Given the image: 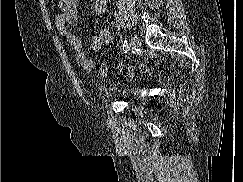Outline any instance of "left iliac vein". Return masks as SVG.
<instances>
[{
  "label": "left iliac vein",
  "instance_id": "obj_1",
  "mask_svg": "<svg viewBox=\"0 0 243 182\" xmlns=\"http://www.w3.org/2000/svg\"><path fill=\"white\" fill-rule=\"evenodd\" d=\"M130 46L132 50H138L140 47V40L137 36H132L130 39ZM113 90V89H112Z\"/></svg>",
  "mask_w": 243,
  "mask_h": 182
}]
</instances>
